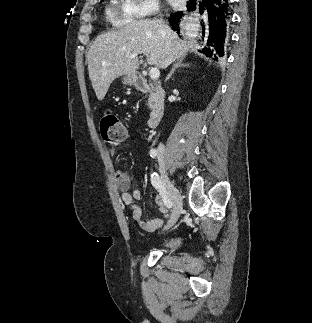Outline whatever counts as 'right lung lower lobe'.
Wrapping results in <instances>:
<instances>
[{
  "label": "right lung lower lobe",
  "instance_id": "obj_1",
  "mask_svg": "<svg viewBox=\"0 0 312 323\" xmlns=\"http://www.w3.org/2000/svg\"><path fill=\"white\" fill-rule=\"evenodd\" d=\"M232 3L228 0H191L187 11L171 13L169 23L173 30L196 27L199 52L214 60L224 55L228 41Z\"/></svg>",
  "mask_w": 312,
  "mask_h": 323
}]
</instances>
